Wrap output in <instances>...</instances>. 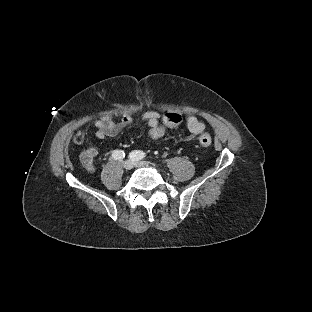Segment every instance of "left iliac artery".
Here are the masks:
<instances>
[{
	"label": "left iliac artery",
	"mask_w": 312,
	"mask_h": 312,
	"mask_svg": "<svg viewBox=\"0 0 312 312\" xmlns=\"http://www.w3.org/2000/svg\"><path fill=\"white\" fill-rule=\"evenodd\" d=\"M130 159L132 160H141L146 157V154L143 151H133L130 153Z\"/></svg>",
	"instance_id": "44dca946"
}]
</instances>
